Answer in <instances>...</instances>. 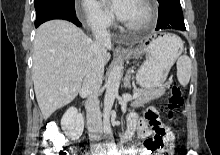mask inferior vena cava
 <instances>
[{"instance_id":"1","label":"inferior vena cava","mask_w":220,"mask_h":155,"mask_svg":"<svg viewBox=\"0 0 220 155\" xmlns=\"http://www.w3.org/2000/svg\"><path fill=\"white\" fill-rule=\"evenodd\" d=\"M91 30L95 41L90 47L81 92L87 98L85 107L89 135L97 137L103 132L98 96L106 64L105 55L107 48L111 46V40L106 24L101 19L92 20Z\"/></svg>"}]
</instances>
